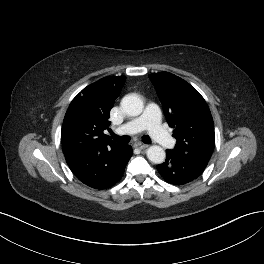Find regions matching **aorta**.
I'll use <instances>...</instances> for the list:
<instances>
[{"mask_svg": "<svg viewBox=\"0 0 264 264\" xmlns=\"http://www.w3.org/2000/svg\"><path fill=\"white\" fill-rule=\"evenodd\" d=\"M121 107L129 116H138L143 111V101L136 94H129L121 100ZM147 157L154 164H161L165 161L166 153L158 145H152L147 149Z\"/></svg>", "mask_w": 264, "mask_h": 264, "instance_id": "762f6f07", "label": "aorta"}]
</instances>
